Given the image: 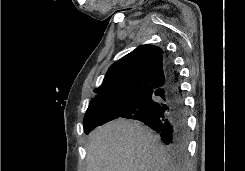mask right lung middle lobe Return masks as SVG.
Wrapping results in <instances>:
<instances>
[{"label": "right lung middle lobe", "mask_w": 245, "mask_h": 171, "mask_svg": "<svg viewBox=\"0 0 245 171\" xmlns=\"http://www.w3.org/2000/svg\"><path fill=\"white\" fill-rule=\"evenodd\" d=\"M129 99L130 98L126 96H116L90 103L84 116V132L88 134L98 126L101 121L116 112L121 105Z\"/></svg>", "instance_id": "1"}]
</instances>
